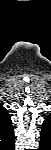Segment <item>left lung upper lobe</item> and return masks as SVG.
Returning a JSON list of instances; mask_svg holds the SVG:
<instances>
[{
  "label": "left lung upper lobe",
  "instance_id": "obj_1",
  "mask_svg": "<svg viewBox=\"0 0 51 150\" xmlns=\"http://www.w3.org/2000/svg\"><path fill=\"white\" fill-rule=\"evenodd\" d=\"M42 131H44L45 135L51 134V115H49L47 119H45V121L43 122Z\"/></svg>",
  "mask_w": 51,
  "mask_h": 150
}]
</instances>
